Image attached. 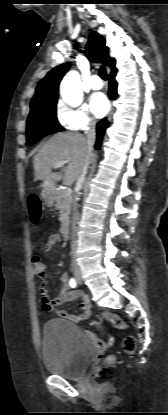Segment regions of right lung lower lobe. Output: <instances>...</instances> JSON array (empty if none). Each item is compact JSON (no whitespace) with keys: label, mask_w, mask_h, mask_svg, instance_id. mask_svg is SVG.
<instances>
[{"label":"right lung lower lobe","mask_w":168,"mask_h":415,"mask_svg":"<svg viewBox=\"0 0 168 415\" xmlns=\"http://www.w3.org/2000/svg\"><path fill=\"white\" fill-rule=\"evenodd\" d=\"M115 75H116V70L112 71L111 74L109 75V98L110 99H114L117 95V83L115 80ZM107 120L103 119L100 122H98L97 124V138H96V143H95V148L99 149L102 139H103V135L105 133V129L107 128Z\"/></svg>","instance_id":"right-lung-lower-lobe-1"}]
</instances>
